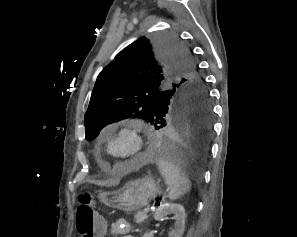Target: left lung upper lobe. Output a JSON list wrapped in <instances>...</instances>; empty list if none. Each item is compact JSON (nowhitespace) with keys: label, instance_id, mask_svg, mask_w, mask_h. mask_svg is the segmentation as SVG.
I'll list each match as a JSON object with an SVG mask.
<instances>
[{"label":"left lung upper lobe","instance_id":"5c2ea615","mask_svg":"<svg viewBox=\"0 0 297 237\" xmlns=\"http://www.w3.org/2000/svg\"><path fill=\"white\" fill-rule=\"evenodd\" d=\"M196 100L209 101V95L178 37H141L98 75L85 114L86 140L125 118L143 119L157 129L172 105Z\"/></svg>","mask_w":297,"mask_h":237}]
</instances>
